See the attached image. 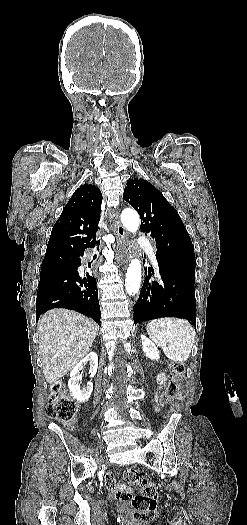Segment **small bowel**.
<instances>
[{
    "label": "small bowel",
    "mask_w": 247,
    "mask_h": 525,
    "mask_svg": "<svg viewBox=\"0 0 247 525\" xmlns=\"http://www.w3.org/2000/svg\"><path fill=\"white\" fill-rule=\"evenodd\" d=\"M167 381V375L166 373L162 372L158 374L157 376V384L159 389H162ZM107 488L112 489L115 485H117V482H114L115 476L113 473L108 472L104 476ZM131 491L130 487L126 485H121L120 489H114L112 491V494L115 496V501L117 502H124L126 500L125 495Z\"/></svg>",
    "instance_id": "obj_1"
}]
</instances>
